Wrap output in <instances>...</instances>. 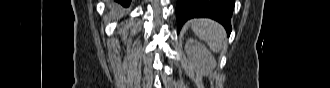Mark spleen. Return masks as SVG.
<instances>
[{"label": "spleen", "mask_w": 330, "mask_h": 88, "mask_svg": "<svg viewBox=\"0 0 330 88\" xmlns=\"http://www.w3.org/2000/svg\"><path fill=\"white\" fill-rule=\"evenodd\" d=\"M191 28L195 35L205 41L213 52H219L224 44V29L210 19H193Z\"/></svg>", "instance_id": "3e777b00"}]
</instances>
